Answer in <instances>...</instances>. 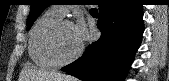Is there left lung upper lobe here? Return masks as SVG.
Instances as JSON below:
<instances>
[{"label": "left lung upper lobe", "mask_w": 169, "mask_h": 81, "mask_svg": "<svg viewBox=\"0 0 169 81\" xmlns=\"http://www.w3.org/2000/svg\"><path fill=\"white\" fill-rule=\"evenodd\" d=\"M49 5V0H31V10L27 20V30L31 28L36 18Z\"/></svg>", "instance_id": "obj_1"}]
</instances>
